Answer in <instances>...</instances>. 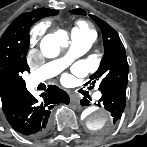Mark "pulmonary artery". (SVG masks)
I'll return each mask as SVG.
<instances>
[{"instance_id": "1", "label": "pulmonary artery", "mask_w": 147, "mask_h": 147, "mask_svg": "<svg viewBox=\"0 0 147 147\" xmlns=\"http://www.w3.org/2000/svg\"><path fill=\"white\" fill-rule=\"evenodd\" d=\"M93 39L79 36L75 33L72 34V44L71 49L67 55L59 60L49 62L39 68L37 71L32 73L28 78V86L34 87L40 82L51 78L58 74L63 68H65L74 58L87 52L92 46ZM95 98H100L101 93L96 92L94 95Z\"/></svg>"}]
</instances>
